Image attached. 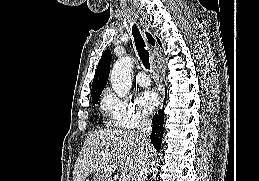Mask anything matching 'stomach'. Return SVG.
Returning a JSON list of instances; mask_svg holds the SVG:
<instances>
[{"label": "stomach", "instance_id": "stomach-1", "mask_svg": "<svg viewBox=\"0 0 259 181\" xmlns=\"http://www.w3.org/2000/svg\"><path fill=\"white\" fill-rule=\"evenodd\" d=\"M93 181H111L109 177H106L102 174L95 173L93 176Z\"/></svg>", "mask_w": 259, "mask_h": 181}]
</instances>
